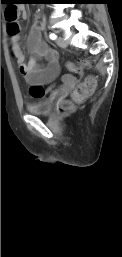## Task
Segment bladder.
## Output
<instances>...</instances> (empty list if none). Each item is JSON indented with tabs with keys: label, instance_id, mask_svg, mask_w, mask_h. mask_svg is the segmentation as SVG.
I'll return each mask as SVG.
<instances>
[{
	"label": "bladder",
	"instance_id": "obj_1",
	"mask_svg": "<svg viewBox=\"0 0 122 257\" xmlns=\"http://www.w3.org/2000/svg\"><path fill=\"white\" fill-rule=\"evenodd\" d=\"M53 107V98H42L27 106L29 113L34 115H47Z\"/></svg>",
	"mask_w": 122,
	"mask_h": 257
}]
</instances>
